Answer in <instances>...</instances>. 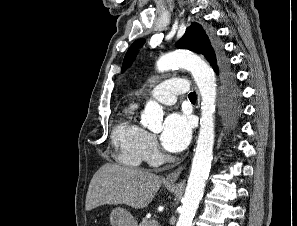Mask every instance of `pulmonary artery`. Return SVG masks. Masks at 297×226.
Here are the masks:
<instances>
[{
	"instance_id": "1",
	"label": "pulmonary artery",
	"mask_w": 297,
	"mask_h": 226,
	"mask_svg": "<svg viewBox=\"0 0 297 226\" xmlns=\"http://www.w3.org/2000/svg\"><path fill=\"white\" fill-rule=\"evenodd\" d=\"M188 82L181 78H171L155 85L150 91V97L156 101L172 105L176 102L177 95L187 94Z\"/></svg>"
}]
</instances>
